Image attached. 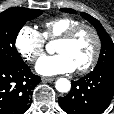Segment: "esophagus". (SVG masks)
<instances>
[{"label":"esophagus","instance_id":"1","mask_svg":"<svg viewBox=\"0 0 114 114\" xmlns=\"http://www.w3.org/2000/svg\"><path fill=\"white\" fill-rule=\"evenodd\" d=\"M41 80L43 82H52L55 80V78H52V77H42Z\"/></svg>","mask_w":114,"mask_h":114}]
</instances>
